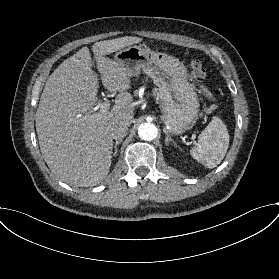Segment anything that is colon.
<instances>
[{
	"label": "colon",
	"mask_w": 279,
	"mask_h": 279,
	"mask_svg": "<svg viewBox=\"0 0 279 279\" xmlns=\"http://www.w3.org/2000/svg\"><path fill=\"white\" fill-rule=\"evenodd\" d=\"M189 67L191 69L192 76L194 80L200 85L206 80V69L198 59H191L189 63Z\"/></svg>",
	"instance_id": "5ec220e1"
}]
</instances>
